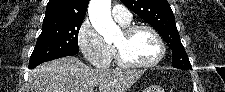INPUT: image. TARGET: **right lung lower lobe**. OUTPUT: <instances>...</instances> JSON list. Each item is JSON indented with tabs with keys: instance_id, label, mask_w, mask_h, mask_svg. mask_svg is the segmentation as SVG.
I'll return each mask as SVG.
<instances>
[{
	"instance_id": "98d812e1",
	"label": "right lung lower lobe",
	"mask_w": 225,
	"mask_h": 92,
	"mask_svg": "<svg viewBox=\"0 0 225 92\" xmlns=\"http://www.w3.org/2000/svg\"><path fill=\"white\" fill-rule=\"evenodd\" d=\"M76 53L77 52H70V53H65V54H62V55H59V56H56V57H50V58L43 59V60L29 62V68L33 69V68H35L36 66H38L39 64H41L43 62L54 60V59H57V58H60V57L75 55Z\"/></svg>"
}]
</instances>
